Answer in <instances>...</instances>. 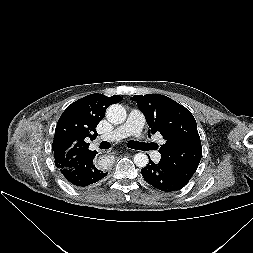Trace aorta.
Masks as SVG:
<instances>
[{
	"mask_svg": "<svg viewBox=\"0 0 253 253\" xmlns=\"http://www.w3.org/2000/svg\"><path fill=\"white\" fill-rule=\"evenodd\" d=\"M106 117L112 124H121L126 120L127 113L125 108L120 104H112L108 107ZM148 157L144 153H137L134 156V163L140 168H144L148 164Z\"/></svg>",
	"mask_w": 253,
	"mask_h": 253,
	"instance_id": "1",
	"label": "aorta"
}]
</instances>
